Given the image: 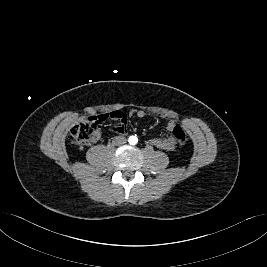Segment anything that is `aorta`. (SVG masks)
I'll use <instances>...</instances> for the list:
<instances>
[{"label": "aorta", "mask_w": 267, "mask_h": 267, "mask_svg": "<svg viewBox=\"0 0 267 267\" xmlns=\"http://www.w3.org/2000/svg\"><path fill=\"white\" fill-rule=\"evenodd\" d=\"M128 141L131 145H135L138 142V138L136 136H130Z\"/></svg>", "instance_id": "762f6f07"}]
</instances>
